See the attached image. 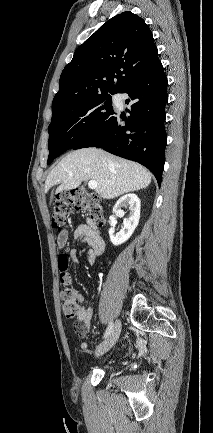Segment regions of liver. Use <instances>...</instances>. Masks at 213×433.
<instances>
[{"mask_svg":"<svg viewBox=\"0 0 213 433\" xmlns=\"http://www.w3.org/2000/svg\"><path fill=\"white\" fill-rule=\"evenodd\" d=\"M87 180L98 183L96 193L100 197L113 199L146 188L151 183V173L138 163L101 149L83 148L69 153L49 173L45 192L57 184L60 185L55 194L72 190Z\"/></svg>","mask_w":213,"mask_h":433,"instance_id":"obj_1","label":"liver"}]
</instances>
